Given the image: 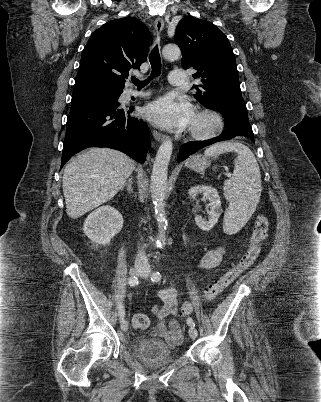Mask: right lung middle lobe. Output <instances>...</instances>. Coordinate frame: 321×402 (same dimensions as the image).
I'll list each match as a JSON object with an SVG mask.
<instances>
[{"instance_id": "dd1d6c3e", "label": "right lung middle lobe", "mask_w": 321, "mask_h": 402, "mask_svg": "<svg viewBox=\"0 0 321 402\" xmlns=\"http://www.w3.org/2000/svg\"><path fill=\"white\" fill-rule=\"evenodd\" d=\"M122 89L100 84H80L74 86L71 103L95 101L108 104H119L118 98Z\"/></svg>"}]
</instances>
